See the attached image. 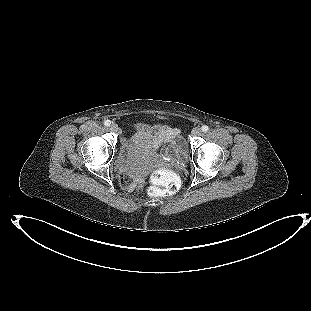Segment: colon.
<instances>
[{"label": "colon", "mask_w": 311, "mask_h": 311, "mask_svg": "<svg viewBox=\"0 0 311 311\" xmlns=\"http://www.w3.org/2000/svg\"><path fill=\"white\" fill-rule=\"evenodd\" d=\"M121 183L126 186L127 178L122 174ZM152 186L148 193L151 197H168L176 193L179 187V178L169 169H157L150 175Z\"/></svg>", "instance_id": "colon-1"}]
</instances>
